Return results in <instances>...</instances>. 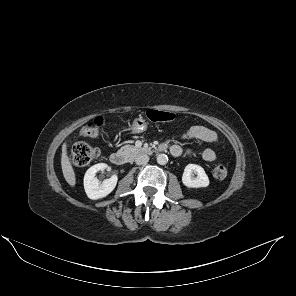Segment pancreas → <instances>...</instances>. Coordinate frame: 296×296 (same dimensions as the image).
<instances>
[{"instance_id":"pancreas-1","label":"pancreas","mask_w":296,"mask_h":296,"mask_svg":"<svg viewBox=\"0 0 296 296\" xmlns=\"http://www.w3.org/2000/svg\"><path fill=\"white\" fill-rule=\"evenodd\" d=\"M142 151V148H137L136 146L133 145H125L120 148L119 152H122L124 155L128 157H132L137 155Z\"/></svg>"}]
</instances>
